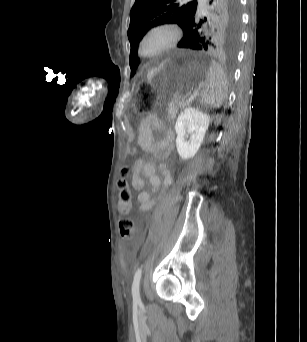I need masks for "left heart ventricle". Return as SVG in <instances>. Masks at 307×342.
Returning <instances> with one entry per match:
<instances>
[{
    "label": "left heart ventricle",
    "instance_id": "1",
    "mask_svg": "<svg viewBox=\"0 0 307 342\" xmlns=\"http://www.w3.org/2000/svg\"><path fill=\"white\" fill-rule=\"evenodd\" d=\"M170 35L167 30L156 29L152 31L144 40L142 49L145 55H152L163 47L168 41Z\"/></svg>",
    "mask_w": 307,
    "mask_h": 342
}]
</instances>
